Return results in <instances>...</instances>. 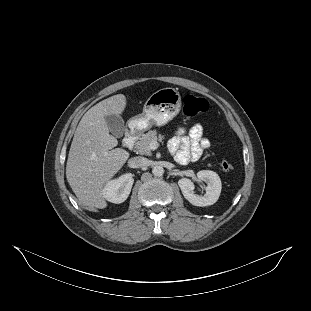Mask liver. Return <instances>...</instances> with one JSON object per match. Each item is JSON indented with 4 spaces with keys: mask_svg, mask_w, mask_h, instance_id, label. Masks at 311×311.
<instances>
[{
    "mask_svg": "<svg viewBox=\"0 0 311 311\" xmlns=\"http://www.w3.org/2000/svg\"><path fill=\"white\" fill-rule=\"evenodd\" d=\"M127 99L116 94L91 107L80 120L68 154L66 177L78 200L90 211L107 206L103 186L121 169L129 152L115 148L105 116L120 115Z\"/></svg>",
    "mask_w": 311,
    "mask_h": 311,
    "instance_id": "liver-1",
    "label": "liver"
}]
</instances>
